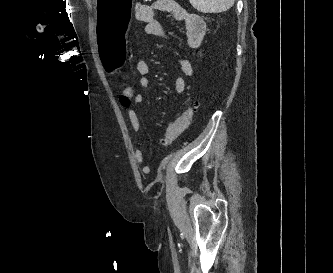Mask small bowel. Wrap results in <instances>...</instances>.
<instances>
[{
	"mask_svg": "<svg viewBox=\"0 0 333 273\" xmlns=\"http://www.w3.org/2000/svg\"><path fill=\"white\" fill-rule=\"evenodd\" d=\"M160 13L169 14L176 22L182 24L185 28L186 43L190 48L200 49L205 35V22L203 19L184 8L174 0H156L152 4H138L136 8V18L143 23V31L147 35H153L165 40H170L168 32L163 25L156 19ZM199 58H203V54L199 53ZM173 65L179 67L181 71L188 77H193L196 74L192 63L183 58H174ZM136 71L140 75L139 85L143 90L149 91L153 88V84L148 77L150 72L149 64L138 59L136 62ZM174 89L178 95H183L186 89V82L182 76H177L174 81ZM133 104L127 110L128 118L135 135L141 131V123L134 105L140 104L143 101L141 94H133ZM169 126V125H168ZM135 161L142 166V170L147 173L149 167L144 164L143 153L139 147H135Z\"/></svg>",
	"mask_w": 333,
	"mask_h": 273,
	"instance_id": "c3829d8e",
	"label": "small bowel"
}]
</instances>
